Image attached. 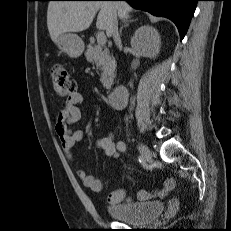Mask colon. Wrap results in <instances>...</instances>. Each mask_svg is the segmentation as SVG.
Here are the masks:
<instances>
[{
  "label": "colon",
  "mask_w": 231,
  "mask_h": 231,
  "mask_svg": "<svg viewBox=\"0 0 231 231\" xmlns=\"http://www.w3.org/2000/svg\"><path fill=\"white\" fill-rule=\"evenodd\" d=\"M50 75L54 91L58 96L70 97L75 93V80L64 66L53 65Z\"/></svg>",
  "instance_id": "5ec220e1"
}]
</instances>
